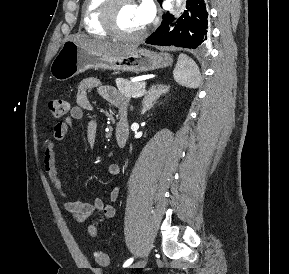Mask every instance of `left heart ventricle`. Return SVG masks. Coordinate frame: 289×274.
Returning a JSON list of instances; mask_svg holds the SVG:
<instances>
[{
    "label": "left heart ventricle",
    "instance_id": "obj_1",
    "mask_svg": "<svg viewBox=\"0 0 289 274\" xmlns=\"http://www.w3.org/2000/svg\"><path fill=\"white\" fill-rule=\"evenodd\" d=\"M116 24L119 30L124 33H136L145 27L136 3H125L119 7L116 14Z\"/></svg>",
    "mask_w": 289,
    "mask_h": 274
}]
</instances>
